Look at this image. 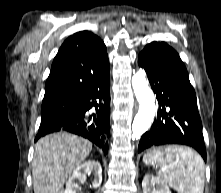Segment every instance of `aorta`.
<instances>
[{"mask_svg": "<svg viewBox=\"0 0 221 193\" xmlns=\"http://www.w3.org/2000/svg\"><path fill=\"white\" fill-rule=\"evenodd\" d=\"M132 87L139 102V110L132 124V138L138 139L151 126L155 112V96L148 86L146 72L139 69L132 77Z\"/></svg>", "mask_w": 221, "mask_h": 193, "instance_id": "aorta-1", "label": "aorta"}]
</instances>
